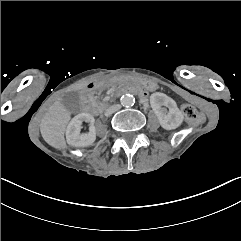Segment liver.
I'll use <instances>...</instances> for the list:
<instances>
[{
  "label": "liver",
  "mask_w": 241,
  "mask_h": 241,
  "mask_svg": "<svg viewBox=\"0 0 241 241\" xmlns=\"http://www.w3.org/2000/svg\"><path fill=\"white\" fill-rule=\"evenodd\" d=\"M90 82L78 84L74 90L88 87ZM71 119V112L63 105L62 99L55 101L44 115L40 131L44 141L54 149L66 148L65 131Z\"/></svg>",
  "instance_id": "obj_1"
}]
</instances>
